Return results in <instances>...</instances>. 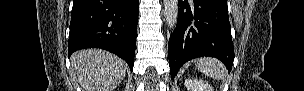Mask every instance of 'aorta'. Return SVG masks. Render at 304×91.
Wrapping results in <instances>:
<instances>
[{"instance_id":"aorta-1","label":"aorta","mask_w":304,"mask_h":91,"mask_svg":"<svg viewBox=\"0 0 304 91\" xmlns=\"http://www.w3.org/2000/svg\"><path fill=\"white\" fill-rule=\"evenodd\" d=\"M164 14L170 29H174L178 21V0H164Z\"/></svg>"}]
</instances>
